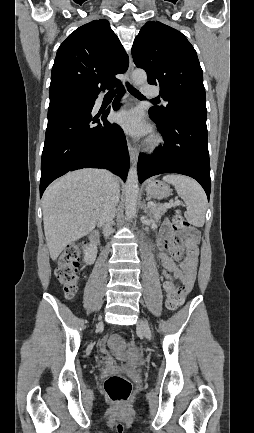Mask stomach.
I'll use <instances>...</instances> for the list:
<instances>
[{
  "mask_svg": "<svg viewBox=\"0 0 254 433\" xmlns=\"http://www.w3.org/2000/svg\"><path fill=\"white\" fill-rule=\"evenodd\" d=\"M145 191L147 195L156 198V199H164L170 195V188L167 184L161 181H150L147 183L145 187Z\"/></svg>",
  "mask_w": 254,
  "mask_h": 433,
  "instance_id": "stomach-1",
  "label": "stomach"
}]
</instances>
